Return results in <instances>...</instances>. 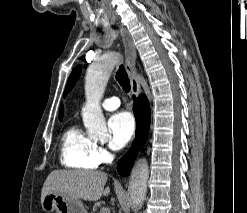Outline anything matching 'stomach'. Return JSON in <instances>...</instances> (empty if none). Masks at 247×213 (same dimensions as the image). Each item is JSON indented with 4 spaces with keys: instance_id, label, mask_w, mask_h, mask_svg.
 <instances>
[{
    "instance_id": "1",
    "label": "stomach",
    "mask_w": 247,
    "mask_h": 213,
    "mask_svg": "<svg viewBox=\"0 0 247 213\" xmlns=\"http://www.w3.org/2000/svg\"><path fill=\"white\" fill-rule=\"evenodd\" d=\"M42 209L46 213H87L81 200L65 194L48 193L41 199Z\"/></svg>"
}]
</instances>
